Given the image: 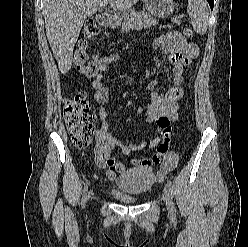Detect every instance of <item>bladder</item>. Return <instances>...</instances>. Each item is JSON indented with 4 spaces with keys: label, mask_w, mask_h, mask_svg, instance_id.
<instances>
[{
    "label": "bladder",
    "mask_w": 248,
    "mask_h": 247,
    "mask_svg": "<svg viewBox=\"0 0 248 247\" xmlns=\"http://www.w3.org/2000/svg\"><path fill=\"white\" fill-rule=\"evenodd\" d=\"M154 183V175L147 169H130L117 179L119 191L113 196L124 203H135L146 195Z\"/></svg>",
    "instance_id": "bladder-1"
}]
</instances>
